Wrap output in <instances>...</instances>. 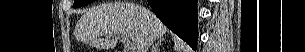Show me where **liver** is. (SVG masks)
I'll use <instances>...</instances> for the list:
<instances>
[{"instance_id":"liver-1","label":"liver","mask_w":305,"mask_h":52,"mask_svg":"<svg viewBox=\"0 0 305 52\" xmlns=\"http://www.w3.org/2000/svg\"><path fill=\"white\" fill-rule=\"evenodd\" d=\"M78 35L98 48H114L118 36L138 45L146 37L164 39L167 28L147 9L131 3H106L93 7L79 19Z\"/></svg>"}]
</instances>
